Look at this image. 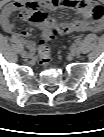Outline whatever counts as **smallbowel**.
<instances>
[{
    "label": "small bowel",
    "instance_id": "small-bowel-1",
    "mask_svg": "<svg viewBox=\"0 0 104 137\" xmlns=\"http://www.w3.org/2000/svg\"><path fill=\"white\" fill-rule=\"evenodd\" d=\"M39 8L44 10L69 8L77 11L86 18V20L76 21L71 24H59L52 21L38 24L42 31L53 25L62 35H69L75 32L98 31L102 28L104 9L94 0H28L11 2L3 8L0 19L3 30L7 33L13 32L14 23L12 21V15L16 12L20 13L22 20L35 23L32 21V15ZM15 37L25 42L29 47H33L32 43L27 41L29 37L28 31H21L15 34Z\"/></svg>",
    "mask_w": 104,
    "mask_h": 137
}]
</instances>
